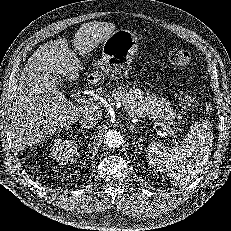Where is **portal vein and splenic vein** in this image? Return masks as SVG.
Masks as SVG:
<instances>
[{
    "label": "portal vein and splenic vein",
    "mask_w": 231,
    "mask_h": 231,
    "mask_svg": "<svg viewBox=\"0 0 231 231\" xmlns=\"http://www.w3.org/2000/svg\"><path fill=\"white\" fill-rule=\"evenodd\" d=\"M90 96L92 95H89L88 93H84V95L79 98V101L81 103H88V104L93 103V100L95 99V97H90ZM154 123L157 126H160L167 134L174 135V132L168 125L164 124L163 122H159L158 120H154Z\"/></svg>",
    "instance_id": "obj_1"
}]
</instances>
